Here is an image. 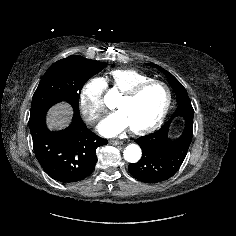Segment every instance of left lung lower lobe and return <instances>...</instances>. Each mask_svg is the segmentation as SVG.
I'll return each instance as SVG.
<instances>
[{"label": "left lung lower lobe", "mask_w": 236, "mask_h": 236, "mask_svg": "<svg viewBox=\"0 0 236 236\" xmlns=\"http://www.w3.org/2000/svg\"><path fill=\"white\" fill-rule=\"evenodd\" d=\"M176 117L184 119L185 127L182 135L172 140L169 130ZM192 134L193 107L191 102H184L177 106L172 117L161 129L135 140L142 149V157L137 163L129 164V172L134 178L145 183H158L171 178L186 157Z\"/></svg>", "instance_id": "1"}]
</instances>
